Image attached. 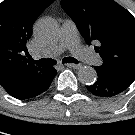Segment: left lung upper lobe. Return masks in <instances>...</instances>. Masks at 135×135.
<instances>
[{
	"label": "left lung upper lobe",
	"instance_id": "1",
	"mask_svg": "<svg viewBox=\"0 0 135 135\" xmlns=\"http://www.w3.org/2000/svg\"><path fill=\"white\" fill-rule=\"evenodd\" d=\"M88 44L95 41L97 66L128 82L135 80V18L114 0H61Z\"/></svg>",
	"mask_w": 135,
	"mask_h": 135
}]
</instances>
